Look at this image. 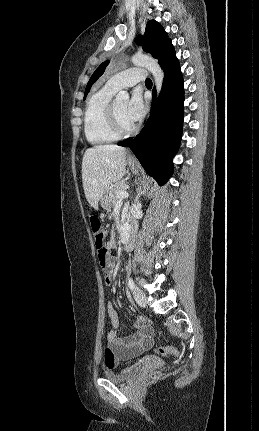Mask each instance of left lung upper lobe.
<instances>
[{"label":"left lung upper lobe","instance_id":"1","mask_svg":"<svg viewBox=\"0 0 259 431\" xmlns=\"http://www.w3.org/2000/svg\"><path fill=\"white\" fill-rule=\"evenodd\" d=\"M138 44H141L144 51L151 53V55L159 61L165 49L171 44V40L168 39L166 32L158 22L150 20L146 25L144 36L139 37ZM108 64L109 61L103 62L92 74L85 89L84 99L92 84L104 73Z\"/></svg>","mask_w":259,"mask_h":431}]
</instances>
